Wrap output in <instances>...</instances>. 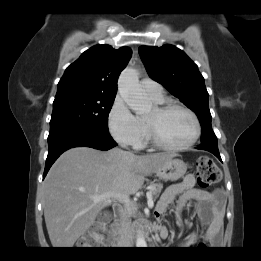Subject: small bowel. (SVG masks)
<instances>
[{
  "mask_svg": "<svg viewBox=\"0 0 261 261\" xmlns=\"http://www.w3.org/2000/svg\"><path fill=\"white\" fill-rule=\"evenodd\" d=\"M177 199V222L181 224L179 212L191 202L196 203L195 208L200 221L208 225L204 241L209 244H218L221 240L224 209L226 197L223 191H207L196 187L193 175H187L182 181L170 185L162 194L156 210L159 218L167 208ZM162 231L165 230L162 228ZM196 233L191 234L188 240H193ZM187 243H182L186 246Z\"/></svg>",
  "mask_w": 261,
  "mask_h": 261,
  "instance_id": "obj_1",
  "label": "small bowel"
}]
</instances>
